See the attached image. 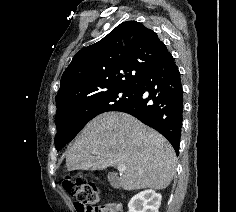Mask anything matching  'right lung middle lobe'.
<instances>
[{
    "label": "right lung middle lobe",
    "instance_id": "1",
    "mask_svg": "<svg viewBox=\"0 0 236 212\" xmlns=\"http://www.w3.org/2000/svg\"><path fill=\"white\" fill-rule=\"evenodd\" d=\"M136 93L137 85L123 86L82 98L58 110L55 118L57 151L70 142L91 119L130 103Z\"/></svg>",
    "mask_w": 236,
    "mask_h": 212
}]
</instances>
